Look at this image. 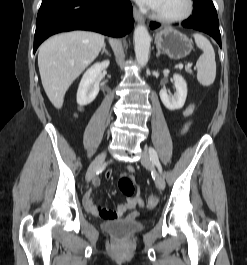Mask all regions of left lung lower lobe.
Returning a JSON list of instances; mask_svg holds the SVG:
<instances>
[{"label": "left lung lower lobe", "mask_w": 247, "mask_h": 265, "mask_svg": "<svg viewBox=\"0 0 247 265\" xmlns=\"http://www.w3.org/2000/svg\"><path fill=\"white\" fill-rule=\"evenodd\" d=\"M194 10L192 16L182 22L185 28H193L205 32L212 36L221 47V35L219 31V21L216 9L212 0H193ZM160 24L151 22L152 29Z\"/></svg>", "instance_id": "1"}]
</instances>
